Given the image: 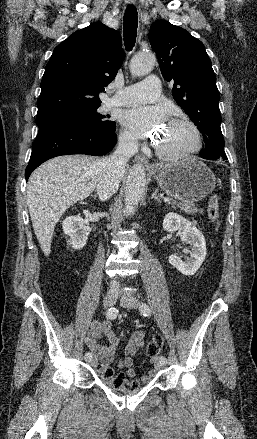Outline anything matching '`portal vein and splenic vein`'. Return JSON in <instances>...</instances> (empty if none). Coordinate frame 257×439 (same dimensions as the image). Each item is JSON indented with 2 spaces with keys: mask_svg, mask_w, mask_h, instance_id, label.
<instances>
[{
  "mask_svg": "<svg viewBox=\"0 0 257 439\" xmlns=\"http://www.w3.org/2000/svg\"><path fill=\"white\" fill-rule=\"evenodd\" d=\"M163 200H164V202H170V201H171V198H169V197H165Z\"/></svg>",
  "mask_w": 257,
  "mask_h": 439,
  "instance_id": "18ae733b",
  "label": "portal vein and splenic vein"
}]
</instances>
